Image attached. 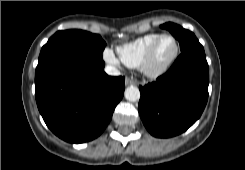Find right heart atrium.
Wrapping results in <instances>:
<instances>
[{
  "mask_svg": "<svg viewBox=\"0 0 245 170\" xmlns=\"http://www.w3.org/2000/svg\"><path fill=\"white\" fill-rule=\"evenodd\" d=\"M104 59L110 63V64H118V60L115 57L114 53L112 52V50H110L109 48H106L104 50L103 53Z\"/></svg>",
  "mask_w": 245,
  "mask_h": 170,
  "instance_id": "1",
  "label": "right heart atrium"
}]
</instances>
